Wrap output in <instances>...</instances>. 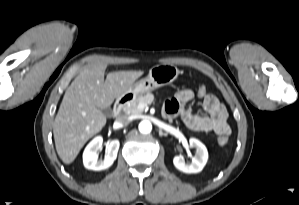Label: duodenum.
I'll use <instances>...</instances> for the list:
<instances>
[{"label": "duodenum", "instance_id": "obj_1", "mask_svg": "<svg viewBox=\"0 0 299 205\" xmlns=\"http://www.w3.org/2000/svg\"><path fill=\"white\" fill-rule=\"evenodd\" d=\"M129 98L127 96L122 97L120 99H118L114 106H113V113L114 115H118L121 110L123 109V107L125 106V104L128 102Z\"/></svg>", "mask_w": 299, "mask_h": 205}]
</instances>
